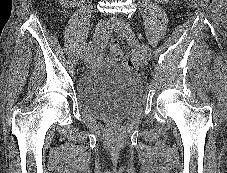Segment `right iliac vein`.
<instances>
[{"mask_svg": "<svg viewBox=\"0 0 227 173\" xmlns=\"http://www.w3.org/2000/svg\"><path fill=\"white\" fill-rule=\"evenodd\" d=\"M107 22L104 19H100L95 27V31L93 34V43L88 52L82 56V60L84 62H88V60L93 56V54L97 51V46L99 45V41H101V37H105ZM98 44V45H97Z\"/></svg>", "mask_w": 227, "mask_h": 173, "instance_id": "right-iliac-vein-1", "label": "right iliac vein"}]
</instances>
